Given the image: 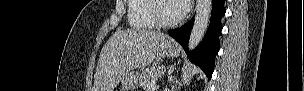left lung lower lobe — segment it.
Returning a JSON list of instances; mask_svg holds the SVG:
<instances>
[{"label":"left lung lower lobe","instance_id":"left-lung-lower-lobe-1","mask_svg":"<svg viewBox=\"0 0 304 91\" xmlns=\"http://www.w3.org/2000/svg\"><path fill=\"white\" fill-rule=\"evenodd\" d=\"M224 3L225 0H212V14L209 28L201 44L192 52L188 51V40L193 28L194 19L181 28L169 31V35L182 45L190 60L204 71L208 79L212 76L215 56L220 48L221 18L226 11Z\"/></svg>","mask_w":304,"mask_h":91}]
</instances>
